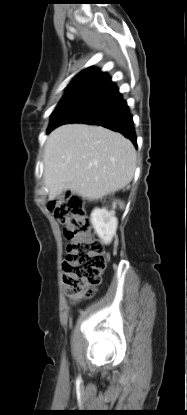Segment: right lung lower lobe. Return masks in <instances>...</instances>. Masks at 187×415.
I'll list each match as a JSON object with an SVG mask.
<instances>
[{"label":"right lung lower lobe","instance_id":"right-lung-lower-lobe-1","mask_svg":"<svg viewBox=\"0 0 187 415\" xmlns=\"http://www.w3.org/2000/svg\"><path fill=\"white\" fill-rule=\"evenodd\" d=\"M68 123L96 124L129 138L137 148L132 115L115 83L97 70L80 81L52 114L47 132Z\"/></svg>","mask_w":187,"mask_h":415}]
</instances>
